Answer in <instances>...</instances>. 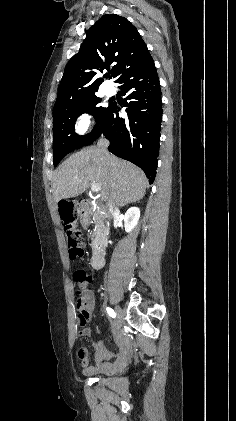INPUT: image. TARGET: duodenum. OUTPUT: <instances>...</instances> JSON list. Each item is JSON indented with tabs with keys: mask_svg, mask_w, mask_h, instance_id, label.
<instances>
[{
	"mask_svg": "<svg viewBox=\"0 0 236 421\" xmlns=\"http://www.w3.org/2000/svg\"><path fill=\"white\" fill-rule=\"evenodd\" d=\"M90 201L88 199H82L74 203L73 211L78 216L81 224L86 227L89 224L88 216H89V207ZM105 263V246L101 245L100 247L96 248L91 257V265L94 269H100L103 267ZM120 346V353L117 356L115 362H104L102 364H98L95 367H92L90 371L92 373H107L111 374L118 369L122 368L130 357V346L127 340L120 339L119 340ZM99 360L109 359V354L101 349Z\"/></svg>",
	"mask_w": 236,
	"mask_h": 421,
	"instance_id": "1",
	"label": "duodenum"
}]
</instances>
